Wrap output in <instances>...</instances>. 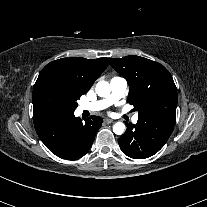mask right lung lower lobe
<instances>
[{"instance_id":"98d812e1","label":"right lung lower lobe","mask_w":207,"mask_h":207,"mask_svg":"<svg viewBox=\"0 0 207 207\" xmlns=\"http://www.w3.org/2000/svg\"><path fill=\"white\" fill-rule=\"evenodd\" d=\"M102 119L91 116L83 123L72 114H48L34 119L36 132L45 146L64 159L84 156L90 149Z\"/></svg>"}]
</instances>
